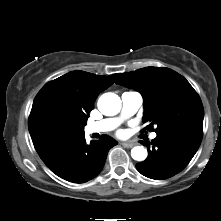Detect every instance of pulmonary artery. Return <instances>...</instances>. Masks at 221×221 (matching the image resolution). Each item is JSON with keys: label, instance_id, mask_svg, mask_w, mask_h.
<instances>
[{"label": "pulmonary artery", "instance_id": "obj_1", "mask_svg": "<svg viewBox=\"0 0 221 221\" xmlns=\"http://www.w3.org/2000/svg\"><path fill=\"white\" fill-rule=\"evenodd\" d=\"M122 110L121 115L116 118H107L100 121L89 123L86 126V132L92 133H103L109 132L115 129L120 122L132 115H134L142 105V96L135 91L124 92L121 95ZM157 134L155 132L151 133L150 137L152 139L156 138Z\"/></svg>", "mask_w": 221, "mask_h": 221}]
</instances>
